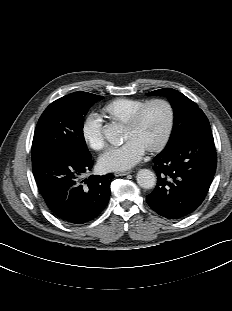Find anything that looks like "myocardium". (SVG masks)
Masks as SVG:
<instances>
[{
	"label": "myocardium",
	"mask_w": 232,
	"mask_h": 311,
	"mask_svg": "<svg viewBox=\"0 0 232 311\" xmlns=\"http://www.w3.org/2000/svg\"><path fill=\"white\" fill-rule=\"evenodd\" d=\"M157 104H161L164 105L167 108L168 111V123L166 126V129L162 135V137L152 146L148 147V150L151 152H156L160 149H162L167 142L169 141L174 126H175V119H176V115H175V110L173 105L166 99H161V98H157V99H151L148 102H146L145 104H143L130 118V120L125 124V127L128 129H132V128H136L141 121L143 120L146 112L153 107L154 105Z\"/></svg>",
	"instance_id": "1"
}]
</instances>
